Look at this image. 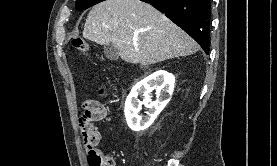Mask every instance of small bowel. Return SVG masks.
<instances>
[{
	"mask_svg": "<svg viewBox=\"0 0 277 166\" xmlns=\"http://www.w3.org/2000/svg\"><path fill=\"white\" fill-rule=\"evenodd\" d=\"M88 111L91 114L92 123H94L95 121L102 120L106 116V108L104 107V105L101 102H99L98 100H95V99L87 100L84 103V111H83L82 116L85 115L86 112H88ZM79 124L81 126L80 119H79ZM99 140H100L99 133H98L97 141L94 145H91L87 140H85L86 145H87L88 161L90 160V156L93 152V148H95V146L97 145Z\"/></svg>",
	"mask_w": 277,
	"mask_h": 166,
	"instance_id": "obj_1",
	"label": "small bowel"
}]
</instances>
